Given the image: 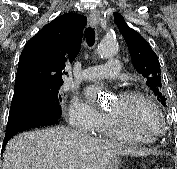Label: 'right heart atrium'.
<instances>
[{
  "label": "right heart atrium",
  "instance_id": "obj_1",
  "mask_svg": "<svg viewBox=\"0 0 177 169\" xmlns=\"http://www.w3.org/2000/svg\"><path fill=\"white\" fill-rule=\"evenodd\" d=\"M68 120L76 129L92 132L104 126L107 122V117L75 98L69 108Z\"/></svg>",
  "mask_w": 177,
  "mask_h": 169
}]
</instances>
